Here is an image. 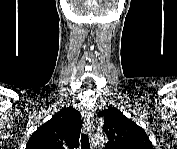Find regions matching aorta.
<instances>
[{"mask_svg": "<svg viewBox=\"0 0 177 149\" xmlns=\"http://www.w3.org/2000/svg\"><path fill=\"white\" fill-rule=\"evenodd\" d=\"M95 146H104L107 143V137L104 134H97L92 139Z\"/></svg>", "mask_w": 177, "mask_h": 149, "instance_id": "762f6f07", "label": "aorta"}]
</instances>
